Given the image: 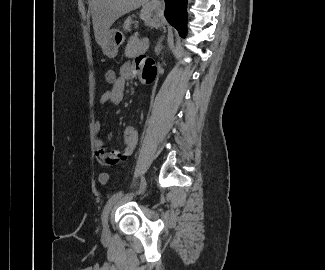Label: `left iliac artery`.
I'll return each instance as SVG.
<instances>
[{
    "mask_svg": "<svg viewBox=\"0 0 325 270\" xmlns=\"http://www.w3.org/2000/svg\"><path fill=\"white\" fill-rule=\"evenodd\" d=\"M146 187V181L144 179V177L141 178V185H140V189L137 193H141L142 191H144ZM123 196V193L122 192H118V193H115L113 194L110 199L108 200V202L106 203L104 209H103V212H102V222L104 224V222L106 221L107 219V216L112 208V206L115 204V202L121 198Z\"/></svg>",
    "mask_w": 325,
    "mask_h": 270,
    "instance_id": "44dca946",
    "label": "left iliac artery"
}]
</instances>
